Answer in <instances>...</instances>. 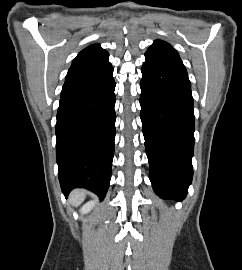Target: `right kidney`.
<instances>
[{"instance_id": "right-kidney-1", "label": "right kidney", "mask_w": 242, "mask_h": 270, "mask_svg": "<svg viewBox=\"0 0 242 270\" xmlns=\"http://www.w3.org/2000/svg\"><path fill=\"white\" fill-rule=\"evenodd\" d=\"M96 204V201H90L81 208V213H88Z\"/></svg>"}]
</instances>
